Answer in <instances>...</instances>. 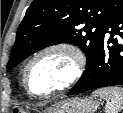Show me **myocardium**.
Segmentation results:
<instances>
[{
    "mask_svg": "<svg viewBox=\"0 0 123 113\" xmlns=\"http://www.w3.org/2000/svg\"><path fill=\"white\" fill-rule=\"evenodd\" d=\"M57 53L64 55L69 60L68 66L69 70L67 75L47 91L42 93L33 92L29 88L26 80L27 73L30 67L42 57ZM85 65H86L85 53L78 45L68 41H59L51 43L37 50L27 60L22 69L21 74L22 84L29 95L35 98H47L77 83L84 73Z\"/></svg>",
    "mask_w": 123,
    "mask_h": 113,
    "instance_id": "myocardium-1",
    "label": "myocardium"
}]
</instances>
